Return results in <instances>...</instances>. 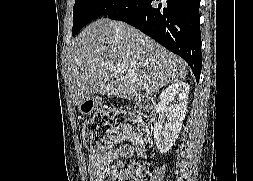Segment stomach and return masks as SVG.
Masks as SVG:
<instances>
[{"label": "stomach", "instance_id": "obj_1", "mask_svg": "<svg viewBox=\"0 0 253 181\" xmlns=\"http://www.w3.org/2000/svg\"><path fill=\"white\" fill-rule=\"evenodd\" d=\"M100 104H101V98L97 96L96 97L92 96L91 98H89L88 100H86L79 106V111L84 115H90L98 108Z\"/></svg>", "mask_w": 253, "mask_h": 181}]
</instances>
